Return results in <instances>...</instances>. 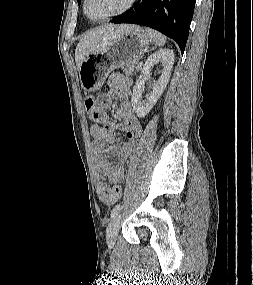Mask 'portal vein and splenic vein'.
<instances>
[{"label":"portal vein and splenic vein","instance_id":"portal-vein-and-splenic-vein-1","mask_svg":"<svg viewBox=\"0 0 253 285\" xmlns=\"http://www.w3.org/2000/svg\"><path fill=\"white\" fill-rule=\"evenodd\" d=\"M141 68V65H138L137 67H136V69H140Z\"/></svg>","mask_w":253,"mask_h":285}]
</instances>
